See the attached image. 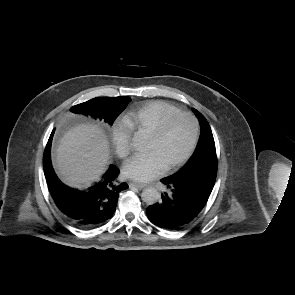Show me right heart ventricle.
Segmentation results:
<instances>
[{
  "label": "right heart ventricle",
  "mask_w": 295,
  "mask_h": 295,
  "mask_svg": "<svg viewBox=\"0 0 295 295\" xmlns=\"http://www.w3.org/2000/svg\"><path fill=\"white\" fill-rule=\"evenodd\" d=\"M180 109L165 101H152L135 110L129 111L123 117V123L130 131L150 134L167 115Z\"/></svg>",
  "instance_id": "right-heart-ventricle-1"
}]
</instances>
